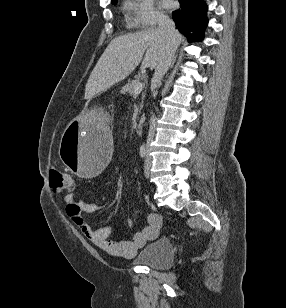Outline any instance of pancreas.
I'll list each match as a JSON object with an SVG mask.
<instances>
[{"label": "pancreas", "mask_w": 286, "mask_h": 308, "mask_svg": "<svg viewBox=\"0 0 286 308\" xmlns=\"http://www.w3.org/2000/svg\"><path fill=\"white\" fill-rule=\"evenodd\" d=\"M137 83H139V78H136V79L132 80L131 82H129L127 85H125L121 89V93L122 94L134 95V87Z\"/></svg>", "instance_id": "obj_1"}]
</instances>
